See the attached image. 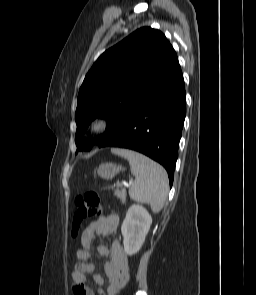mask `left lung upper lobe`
<instances>
[{"label":"left lung upper lobe","instance_id":"obj_1","mask_svg":"<svg viewBox=\"0 0 256 295\" xmlns=\"http://www.w3.org/2000/svg\"><path fill=\"white\" fill-rule=\"evenodd\" d=\"M179 67L175 50L159 30L144 27L106 50L87 73L78 94L75 143L90 150L117 129L134 108ZM108 121L97 140L82 135L96 117Z\"/></svg>","mask_w":256,"mask_h":295}]
</instances>
